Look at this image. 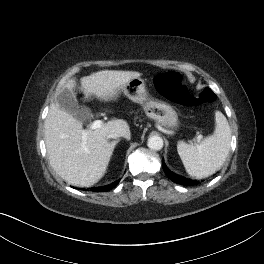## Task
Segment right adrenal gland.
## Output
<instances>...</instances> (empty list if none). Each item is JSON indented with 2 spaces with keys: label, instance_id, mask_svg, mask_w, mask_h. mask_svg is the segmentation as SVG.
I'll use <instances>...</instances> for the list:
<instances>
[{
  "label": "right adrenal gland",
  "instance_id": "right-adrenal-gland-1",
  "mask_svg": "<svg viewBox=\"0 0 264 264\" xmlns=\"http://www.w3.org/2000/svg\"><path fill=\"white\" fill-rule=\"evenodd\" d=\"M119 141H120V139H117V140H114V141H112V142L110 143V146H111L112 152H113V150H114L116 144H117Z\"/></svg>",
  "mask_w": 264,
  "mask_h": 264
}]
</instances>
